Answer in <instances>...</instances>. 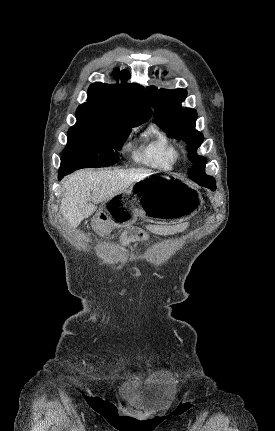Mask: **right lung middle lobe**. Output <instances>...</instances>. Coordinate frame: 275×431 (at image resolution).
I'll return each mask as SVG.
<instances>
[{"instance_id":"1","label":"right lung middle lobe","mask_w":275,"mask_h":431,"mask_svg":"<svg viewBox=\"0 0 275 431\" xmlns=\"http://www.w3.org/2000/svg\"><path fill=\"white\" fill-rule=\"evenodd\" d=\"M132 125L115 119H77L68 131V142L61 156L60 171L104 167L118 161L116 152L131 132Z\"/></svg>"}]
</instances>
